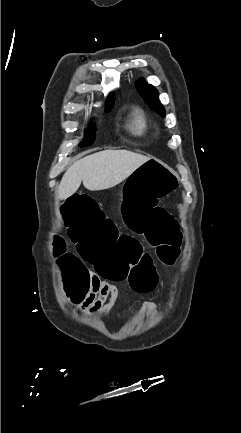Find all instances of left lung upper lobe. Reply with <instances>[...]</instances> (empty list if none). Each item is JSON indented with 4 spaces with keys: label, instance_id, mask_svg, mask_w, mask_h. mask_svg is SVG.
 Here are the masks:
<instances>
[{
    "label": "left lung upper lobe",
    "instance_id": "1",
    "mask_svg": "<svg viewBox=\"0 0 241 433\" xmlns=\"http://www.w3.org/2000/svg\"><path fill=\"white\" fill-rule=\"evenodd\" d=\"M139 93L145 98L146 102L161 115H165V110L162 107L159 99L157 90L150 84L145 83L143 80H139L136 83Z\"/></svg>",
    "mask_w": 241,
    "mask_h": 433
}]
</instances>
